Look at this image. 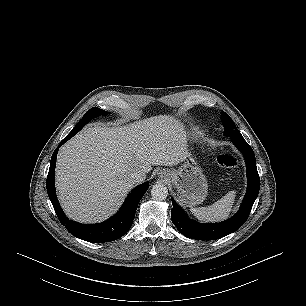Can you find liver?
<instances>
[{"label":"liver","mask_w":306,"mask_h":306,"mask_svg":"<svg viewBox=\"0 0 306 306\" xmlns=\"http://www.w3.org/2000/svg\"><path fill=\"white\" fill-rule=\"evenodd\" d=\"M187 155L183 126L171 116L150 117L123 127H86L58 153L59 200L71 219L105 220L132 189V171L146 174L153 165L174 166Z\"/></svg>","instance_id":"obj_1"}]
</instances>
